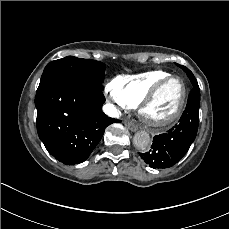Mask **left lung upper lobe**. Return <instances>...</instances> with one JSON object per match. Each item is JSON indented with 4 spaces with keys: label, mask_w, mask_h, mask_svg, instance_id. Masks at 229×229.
<instances>
[{
    "label": "left lung upper lobe",
    "mask_w": 229,
    "mask_h": 229,
    "mask_svg": "<svg viewBox=\"0 0 229 229\" xmlns=\"http://www.w3.org/2000/svg\"><path fill=\"white\" fill-rule=\"evenodd\" d=\"M177 66H179L180 68H182L183 70L187 69L185 66L179 65L177 63H175Z\"/></svg>",
    "instance_id": "obj_1"
}]
</instances>
